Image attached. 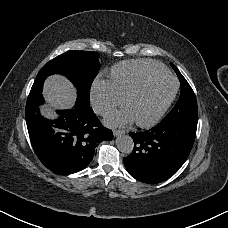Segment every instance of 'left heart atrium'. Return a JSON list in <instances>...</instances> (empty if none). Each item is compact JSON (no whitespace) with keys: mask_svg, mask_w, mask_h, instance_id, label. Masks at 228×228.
Instances as JSON below:
<instances>
[{"mask_svg":"<svg viewBox=\"0 0 228 228\" xmlns=\"http://www.w3.org/2000/svg\"><path fill=\"white\" fill-rule=\"evenodd\" d=\"M134 116L129 109L115 111L111 114V123L116 125H123L133 120Z\"/></svg>","mask_w":228,"mask_h":228,"instance_id":"left-heart-atrium-1","label":"left heart atrium"}]
</instances>
